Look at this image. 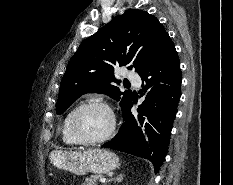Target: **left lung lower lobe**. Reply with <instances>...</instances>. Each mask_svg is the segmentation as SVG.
Wrapping results in <instances>:
<instances>
[{
	"label": "left lung lower lobe",
	"mask_w": 233,
	"mask_h": 185,
	"mask_svg": "<svg viewBox=\"0 0 233 185\" xmlns=\"http://www.w3.org/2000/svg\"><path fill=\"white\" fill-rule=\"evenodd\" d=\"M139 75L145 82L142 91H148L137 109L139 114L131 113L133 100L123 114L119 132L102 147L148 159L158 172L166 156L181 96L179 57L169 36Z\"/></svg>",
	"instance_id": "obj_1"
}]
</instances>
